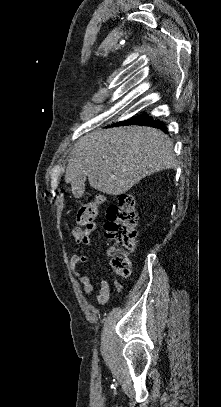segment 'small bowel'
Returning <instances> with one entry per match:
<instances>
[{
	"label": "small bowel",
	"mask_w": 221,
	"mask_h": 407,
	"mask_svg": "<svg viewBox=\"0 0 221 407\" xmlns=\"http://www.w3.org/2000/svg\"><path fill=\"white\" fill-rule=\"evenodd\" d=\"M77 244L80 246V254L73 255L69 261V267L75 272L77 275L81 285H82V292L84 295H89L93 291V283L91 278L84 274L83 272L78 270V267L85 264L88 261V254H87V247L91 246V237L87 239L76 240ZM99 295H98V303L100 305H105L108 303L110 297V285L108 281L101 277L99 280ZM114 287L117 292H120L123 288L121 282L115 280Z\"/></svg>",
	"instance_id": "c3829d8e"
}]
</instances>
